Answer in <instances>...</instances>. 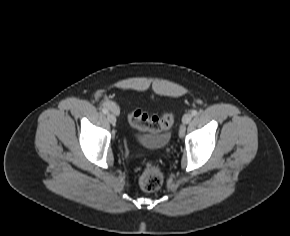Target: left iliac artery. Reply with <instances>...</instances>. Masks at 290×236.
I'll return each mask as SVG.
<instances>
[{
	"mask_svg": "<svg viewBox=\"0 0 290 236\" xmlns=\"http://www.w3.org/2000/svg\"><path fill=\"white\" fill-rule=\"evenodd\" d=\"M191 114H192L193 116H196V115L198 114V112H197V110H192Z\"/></svg>",
	"mask_w": 290,
	"mask_h": 236,
	"instance_id": "44dca946",
	"label": "left iliac artery"
}]
</instances>
